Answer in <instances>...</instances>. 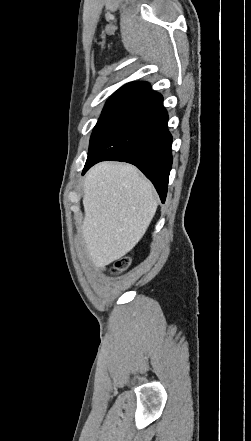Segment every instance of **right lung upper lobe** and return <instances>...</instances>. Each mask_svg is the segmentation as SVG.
Listing matches in <instances>:
<instances>
[{"label": "right lung upper lobe", "mask_w": 251, "mask_h": 441, "mask_svg": "<svg viewBox=\"0 0 251 441\" xmlns=\"http://www.w3.org/2000/svg\"><path fill=\"white\" fill-rule=\"evenodd\" d=\"M151 91L147 82H131L118 89L108 101L135 102Z\"/></svg>", "instance_id": "1"}]
</instances>
